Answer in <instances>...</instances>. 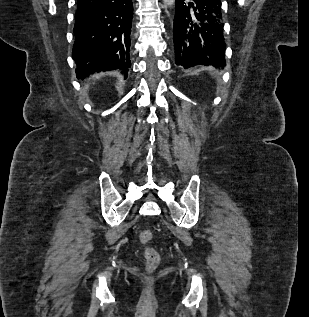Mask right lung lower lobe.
Wrapping results in <instances>:
<instances>
[{
	"instance_id": "1",
	"label": "right lung lower lobe",
	"mask_w": 309,
	"mask_h": 317,
	"mask_svg": "<svg viewBox=\"0 0 309 317\" xmlns=\"http://www.w3.org/2000/svg\"><path fill=\"white\" fill-rule=\"evenodd\" d=\"M72 57L77 78L120 69L127 77L133 18L132 0H78Z\"/></svg>"
}]
</instances>
